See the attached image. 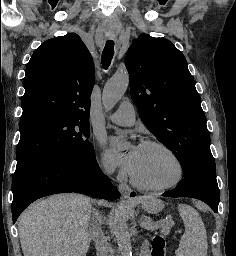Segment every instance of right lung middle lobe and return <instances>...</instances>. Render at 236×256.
<instances>
[{"instance_id":"dd1d6c3e","label":"right lung middle lobe","mask_w":236,"mask_h":256,"mask_svg":"<svg viewBox=\"0 0 236 256\" xmlns=\"http://www.w3.org/2000/svg\"><path fill=\"white\" fill-rule=\"evenodd\" d=\"M17 165L48 154L88 155L94 150L88 120L39 113L20 120Z\"/></svg>"}]
</instances>
